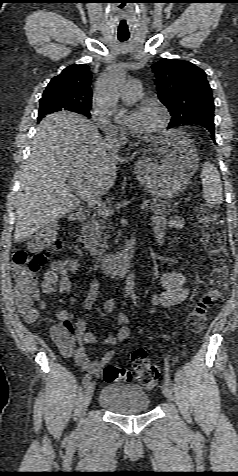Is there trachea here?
<instances>
[{
  "mask_svg": "<svg viewBox=\"0 0 238 476\" xmlns=\"http://www.w3.org/2000/svg\"><path fill=\"white\" fill-rule=\"evenodd\" d=\"M128 38H129V36H118V40L121 41V42L127 41Z\"/></svg>",
  "mask_w": 238,
  "mask_h": 476,
  "instance_id": "obj_1",
  "label": "trachea"
}]
</instances>
